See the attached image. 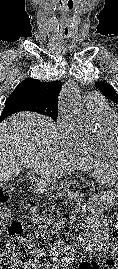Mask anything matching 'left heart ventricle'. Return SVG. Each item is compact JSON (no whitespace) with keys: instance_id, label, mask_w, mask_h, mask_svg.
<instances>
[{"instance_id":"obj_1","label":"left heart ventricle","mask_w":118,"mask_h":269,"mask_svg":"<svg viewBox=\"0 0 118 269\" xmlns=\"http://www.w3.org/2000/svg\"><path fill=\"white\" fill-rule=\"evenodd\" d=\"M115 136H116V141L118 142V129L115 132Z\"/></svg>"}]
</instances>
